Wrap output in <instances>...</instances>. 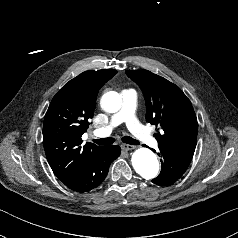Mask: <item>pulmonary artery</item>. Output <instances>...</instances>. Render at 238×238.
<instances>
[{
  "mask_svg": "<svg viewBox=\"0 0 238 238\" xmlns=\"http://www.w3.org/2000/svg\"><path fill=\"white\" fill-rule=\"evenodd\" d=\"M122 97V107L119 112L114 114L105 127L97 129L94 131V135L97 137H105L111 134L113 129L120 125L121 123H126L130 132L143 143L156 146L157 141L147 130V128L142 125L135 115L137 106V93L133 89H125L121 93Z\"/></svg>",
  "mask_w": 238,
  "mask_h": 238,
  "instance_id": "e3ab8cb5",
  "label": "pulmonary artery"
}]
</instances>
